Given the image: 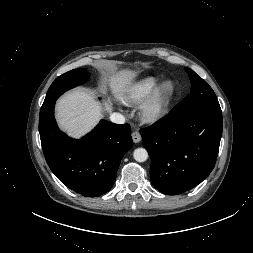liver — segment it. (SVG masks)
Wrapping results in <instances>:
<instances>
[{
  "instance_id": "1",
  "label": "liver",
  "mask_w": 253,
  "mask_h": 253,
  "mask_svg": "<svg viewBox=\"0 0 253 253\" xmlns=\"http://www.w3.org/2000/svg\"><path fill=\"white\" fill-rule=\"evenodd\" d=\"M132 77L131 72H124L111 79V88L118 99H124L123 94ZM105 110L110 112L112 106L107 104ZM56 118L60 128L69 136L80 138L98 124L101 119V107L91 93L78 89L64 94L57 101Z\"/></svg>"
}]
</instances>
